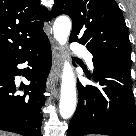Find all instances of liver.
I'll return each instance as SVG.
<instances>
[{
    "label": "liver",
    "instance_id": "1",
    "mask_svg": "<svg viewBox=\"0 0 136 136\" xmlns=\"http://www.w3.org/2000/svg\"><path fill=\"white\" fill-rule=\"evenodd\" d=\"M0 136H13V135L8 134V133H3V132H0Z\"/></svg>",
    "mask_w": 136,
    "mask_h": 136
}]
</instances>
